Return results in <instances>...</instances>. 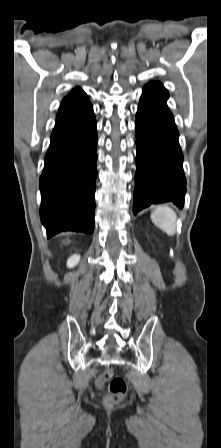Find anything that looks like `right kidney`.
<instances>
[{"label": "right kidney", "instance_id": "obj_1", "mask_svg": "<svg viewBox=\"0 0 221 448\" xmlns=\"http://www.w3.org/2000/svg\"><path fill=\"white\" fill-rule=\"evenodd\" d=\"M80 260V255L78 254H74L72 255L68 260H67V267L72 268L75 265H77V263Z\"/></svg>", "mask_w": 221, "mask_h": 448}]
</instances>
